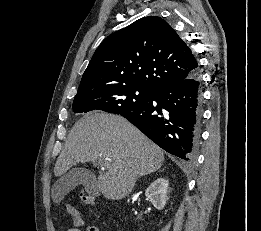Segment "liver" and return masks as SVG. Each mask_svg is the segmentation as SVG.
Segmentation results:
<instances>
[{"label":"liver","instance_id":"6515ba94","mask_svg":"<svg viewBox=\"0 0 261 231\" xmlns=\"http://www.w3.org/2000/svg\"><path fill=\"white\" fill-rule=\"evenodd\" d=\"M163 151L125 118L90 113L78 120L68 135L55 167V176L72 166L92 162L104 167L97 185L109 199L130 194L136 179L160 169Z\"/></svg>","mask_w":261,"mask_h":231}]
</instances>
